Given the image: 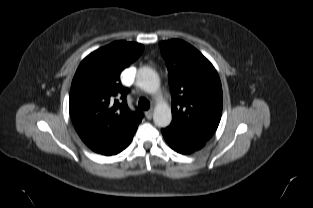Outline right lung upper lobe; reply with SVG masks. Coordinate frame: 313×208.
I'll return each mask as SVG.
<instances>
[{
    "instance_id": "right-lung-upper-lobe-1",
    "label": "right lung upper lobe",
    "mask_w": 313,
    "mask_h": 208,
    "mask_svg": "<svg viewBox=\"0 0 313 208\" xmlns=\"http://www.w3.org/2000/svg\"><path fill=\"white\" fill-rule=\"evenodd\" d=\"M143 49L139 43L115 41L92 52L80 63L69 98L70 116L79 136L127 137L135 133L143 113L128 108V89L119 81L122 70ZM116 96H121L122 103Z\"/></svg>"
}]
</instances>
